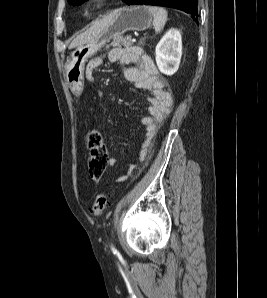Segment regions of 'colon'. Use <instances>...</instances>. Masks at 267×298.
Wrapping results in <instances>:
<instances>
[{"label": "colon", "mask_w": 267, "mask_h": 298, "mask_svg": "<svg viewBox=\"0 0 267 298\" xmlns=\"http://www.w3.org/2000/svg\"><path fill=\"white\" fill-rule=\"evenodd\" d=\"M88 164L90 178L99 182L109 163L108 152L98 130L91 129L87 134ZM108 201L105 194H98L92 206V212L101 216L107 209Z\"/></svg>", "instance_id": "obj_1"}]
</instances>
